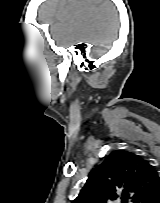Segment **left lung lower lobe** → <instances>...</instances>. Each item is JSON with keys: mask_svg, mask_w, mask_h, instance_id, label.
<instances>
[{"mask_svg": "<svg viewBox=\"0 0 160 203\" xmlns=\"http://www.w3.org/2000/svg\"><path fill=\"white\" fill-rule=\"evenodd\" d=\"M150 203H160V183Z\"/></svg>", "mask_w": 160, "mask_h": 203, "instance_id": "0a47b994", "label": "left lung lower lobe"}]
</instances>
